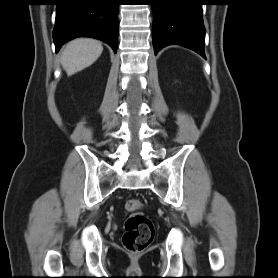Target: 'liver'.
<instances>
[{"label": "liver", "instance_id": "1", "mask_svg": "<svg viewBox=\"0 0 278 278\" xmlns=\"http://www.w3.org/2000/svg\"><path fill=\"white\" fill-rule=\"evenodd\" d=\"M103 51L102 44L90 38H77L70 41L61 56V63L71 76L92 65Z\"/></svg>", "mask_w": 278, "mask_h": 278}]
</instances>
